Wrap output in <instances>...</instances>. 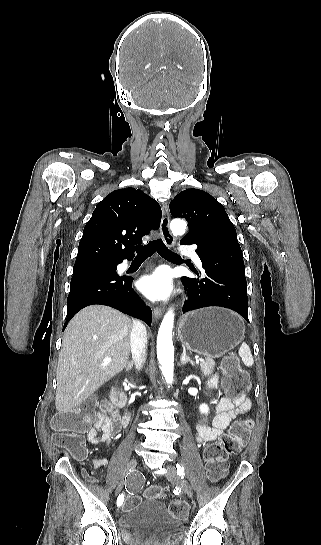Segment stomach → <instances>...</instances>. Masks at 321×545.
I'll return each instance as SVG.
<instances>
[{"mask_svg":"<svg viewBox=\"0 0 321 545\" xmlns=\"http://www.w3.org/2000/svg\"><path fill=\"white\" fill-rule=\"evenodd\" d=\"M178 337L189 351L207 357H222L241 343L245 325L233 311L209 307L190 311L178 323Z\"/></svg>","mask_w":321,"mask_h":545,"instance_id":"1","label":"stomach"}]
</instances>
